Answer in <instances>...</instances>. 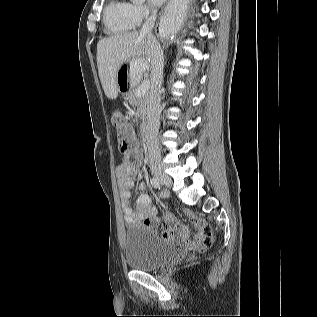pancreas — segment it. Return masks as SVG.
Returning <instances> with one entry per match:
<instances>
[{"instance_id": "cf45deb5", "label": "pancreas", "mask_w": 317, "mask_h": 317, "mask_svg": "<svg viewBox=\"0 0 317 317\" xmlns=\"http://www.w3.org/2000/svg\"><path fill=\"white\" fill-rule=\"evenodd\" d=\"M136 76H138L140 79L141 72L139 75ZM138 88H140V85L138 84L131 86L127 99L129 103L133 104V106H135V108L137 109L139 117L144 118L146 110V95H136Z\"/></svg>"}]
</instances>
